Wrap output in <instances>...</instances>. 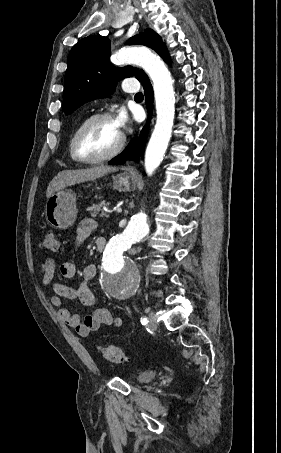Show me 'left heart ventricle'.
Returning a JSON list of instances; mask_svg holds the SVG:
<instances>
[{
    "instance_id": "left-heart-ventricle-1",
    "label": "left heart ventricle",
    "mask_w": 281,
    "mask_h": 453,
    "mask_svg": "<svg viewBox=\"0 0 281 453\" xmlns=\"http://www.w3.org/2000/svg\"><path fill=\"white\" fill-rule=\"evenodd\" d=\"M122 131L114 121H96L84 132L80 151L85 158H95L110 152L120 141Z\"/></svg>"
}]
</instances>
